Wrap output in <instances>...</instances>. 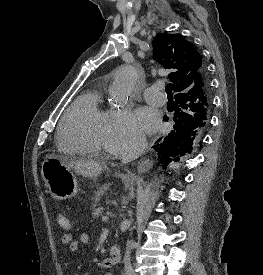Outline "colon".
<instances>
[{"mask_svg": "<svg viewBox=\"0 0 263 275\" xmlns=\"http://www.w3.org/2000/svg\"><path fill=\"white\" fill-rule=\"evenodd\" d=\"M57 222H58V225L64 230H68L71 227V221L69 217L64 213L58 214Z\"/></svg>", "mask_w": 263, "mask_h": 275, "instance_id": "obj_1", "label": "colon"}]
</instances>
